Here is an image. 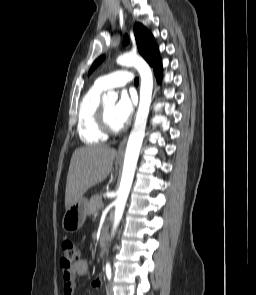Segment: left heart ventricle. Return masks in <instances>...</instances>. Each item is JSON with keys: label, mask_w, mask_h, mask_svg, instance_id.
<instances>
[{"label": "left heart ventricle", "mask_w": 256, "mask_h": 295, "mask_svg": "<svg viewBox=\"0 0 256 295\" xmlns=\"http://www.w3.org/2000/svg\"><path fill=\"white\" fill-rule=\"evenodd\" d=\"M106 113H107V118L109 123L114 127V128H120V126L117 124L115 118H114V109H115V102H109L104 104Z\"/></svg>", "instance_id": "left-heart-ventricle-1"}]
</instances>
